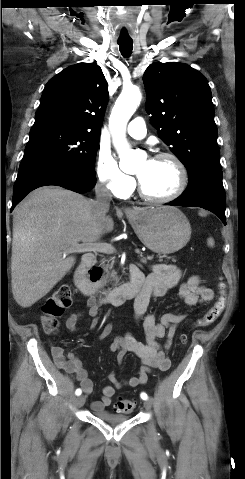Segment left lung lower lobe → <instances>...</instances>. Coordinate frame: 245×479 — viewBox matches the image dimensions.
<instances>
[{
  "instance_id": "left-lung-lower-lobe-1",
  "label": "left lung lower lobe",
  "mask_w": 245,
  "mask_h": 479,
  "mask_svg": "<svg viewBox=\"0 0 245 479\" xmlns=\"http://www.w3.org/2000/svg\"><path fill=\"white\" fill-rule=\"evenodd\" d=\"M167 205L207 209L226 225V198L220 165L209 166L195 173L189 178V185L183 194Z\"/></svg>"
}]
</instances>
